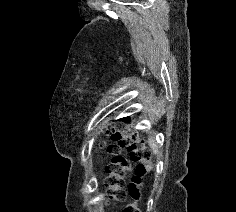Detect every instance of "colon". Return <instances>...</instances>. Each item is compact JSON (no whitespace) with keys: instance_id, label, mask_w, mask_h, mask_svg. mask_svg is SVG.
Masks as SVG:
<instances>
[{"instance_id":"1","label":"colon","mask_w":236,"mask_h":212,"mask_svg":"<svg viewBox=\"0 0 236 212\" xmlns=\"http://www.w3.org/2000/svg\"><path fill=\"white\" fill-rule=\"evenodd\" d=\"M113 141L116 144L106 147L107 153L112 156L105 181L107 202H120L128 196L131 201L121 212H139L138 202L141 199L143 179L152 169L151 152L144 141L134 135L123 137L117 133L113 135ZM120 147L126 148L127 155L118 152ZM132 168H134V174L125 191L124 177Z\"/></svg>"}]
</instances>
